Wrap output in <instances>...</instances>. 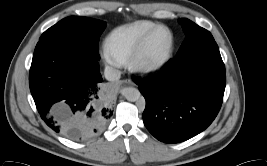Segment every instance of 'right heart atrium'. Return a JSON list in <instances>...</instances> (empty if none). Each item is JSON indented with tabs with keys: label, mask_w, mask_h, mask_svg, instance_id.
<instances>
[{
	"label": "right heart atrium",
	"mask_w": 267,
	"mask_h": 166,
	"mask_svg": "<svg viewBox=\"0 0 267 166\" xmlns=\"http://www.w3.org/2000/svg\"><path fill=\"white\" fill-rule=\"evenodd\" d=\"M102 56L104 60L111 65H118L121 63L118 55L111 49L109 44L104 45Z\"/></svg>",
	"instance_id": "right-heart-atrium-1"
}]
</instances>
